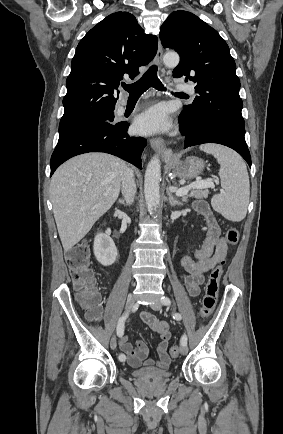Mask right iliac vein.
I'll use <instances>...</instances> for the list:
<instances>
[{
    "label": "right iliac vein",
    "instance_id": "1",
    "mask_svg": "<svg viewBox=\"0 0 283 434\" xmlns=\"http://www.w3.org/2000/svg\"><path fill=\"white\" fill-rule=\"evenodd\" d=\"M134 305H135L134 297H133L132 294H130L128 296V298H127V301H126L125 312L128 313L129 311H131L133 309ZM110 347H111L112 350L116 349V338H115V336H113L111 338Z\"/></svg>",
    "mask_w": 283,
    "mask_h": 434
}]
</instances>
